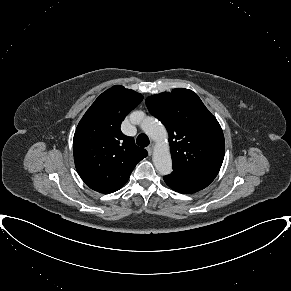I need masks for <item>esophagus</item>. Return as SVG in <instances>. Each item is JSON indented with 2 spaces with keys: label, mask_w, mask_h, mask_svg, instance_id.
Wrapping results in <instances>:
<instances>
[{
  "label": "esophagus",
  "mask_w": 291,
  "mask_h": 291,
  "mask_svg": "<svg viewBox=\"0 0 291 291\" xmlns=\"http://www.w3.org/2000/svg\"><path fill=\"white\" fill-rule=\"evenodd\" d=\"M153 149H154V144L153 143H151L148 147H147V151H148V153H149V155H151L152 154V152H153Z\"/></svg>",
  "instance_id": "1"
}]
</instances>
